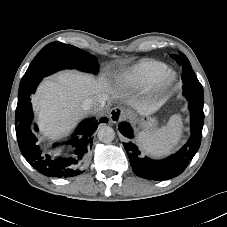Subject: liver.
Returning a JSON list of instances; mask_svg holds the SVG:
<instances>
[{"mask_svg":"<svg viewBox=\"0 0 227 227\" xmlns=\"http://www.w3.org/2000/svg\"><path fill=\"white\" fill-rule=\"evenodd\" d=\"M112 87L104 76L95 78L78 71H63L44 80L32 98L41 131L50 138L66 134L83 117L82 103L87 98L108 99ZM115 92V90H114ZM141 115H151L161 103H131Z\"/></svg>","mask_w":227,"mask_h":227,"instance_id":"6515ba94","label":"liver"}]
</instances>
